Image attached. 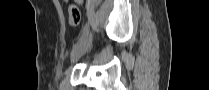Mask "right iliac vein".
Returning <instances> with one entry per match:
<instances>
[{"label": "right iliac vein", "mask_w": 209, "mask_h": 90, "mask_svg": "<svg viewBox=\"0 0 209 90\" xmlns=\"http://www.w3.org/2000/svg\"><path fill=\"white\" fill-rule=\"evenodd\" d=\"M91 43L92 36L90 35L87 39H85L81 47L71 55V62L74 63L78 61L87 52V50L91 46Z\"/></svg>", "instance_id": "right-iliac-vein-1"}]
</instances>
